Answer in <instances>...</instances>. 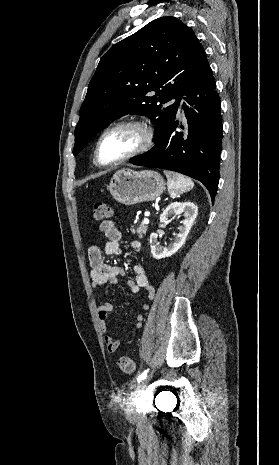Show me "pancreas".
Wrapping results in <instances>:
<instances>
[{
	"instance_id": "obj_1",
	"label": "pancreas",
	"mask_w": 279,
	"mask_h": 465,
	"mask_svg": "<svg viewBox=\"0 0 279 465\" xmlns=\"http://www.w3.org/2000/svg\"><path fill=\"white\" fill-rule=\"evenodd\" d=\"M147 225L146 224H139L137 228H135L134 226H131V231L133 233H136L138 235L139 238H142L144 234H146L147 232Z\"/></svg>"
}]
</instances>
